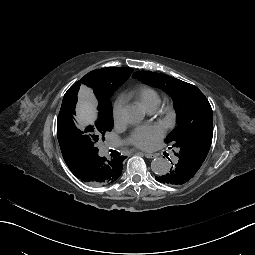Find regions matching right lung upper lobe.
Segmentation results:
<instances>
[{
  "mask_svg": "<svg viewBox=\"0 0 255 255\" xmlns=\"http://www.w3.org/2000/svg\"><path fill=\"white\" fill-rule=\"evenodd\" d=\"M132 68H102L96 69L80 81L73 84L64 95L61 109H68L77 103V95L81 90V96L97 101L102 98H110L114 91L121 86L132 73ZM63 158L71 172L82 181L95 186H106L115 182L122 173L123 156L106 159L98 154L96 146H91L86 154L76 153L72 147L60 146ZM99 167L100 179L93 182L89 179L90 167Z\"/></svg>",
  "mask_w": 255,
  "mask_h": 255,
  "instance_id": "right-lung-upper-lobe-1",
  "label": "right lung upper lobe"
}]
</instances>
